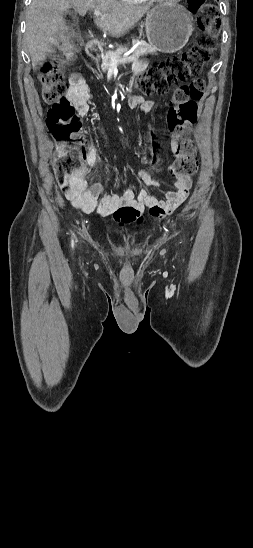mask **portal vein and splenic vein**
Segmentation results:
<instances>
[{"label":"portal vein and splenic vein","instance_id":"portal-vein-and-splenic-vein-1","mask_svg":"<svg viewBox=\"0 0 253 548\" xmlns=\"http://www.w3.org/2000/svg\"><path fill=\"white\" fill-rule=\"evenodd\" d=\"M94 15L99 17L102 15V13L99 11V10H94ZM136 58L134 56H128V57H123L121 59H117L116 57L112 56L111 57V62H112V65L113 66H116L117 64H124V63H127V62H131L133 60H135Z\"/></svg>","mask_w":253,"mask_h":548}]
</instances>
